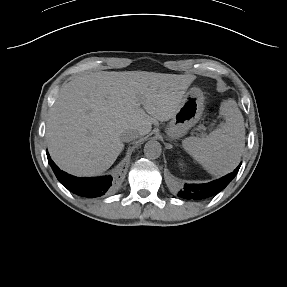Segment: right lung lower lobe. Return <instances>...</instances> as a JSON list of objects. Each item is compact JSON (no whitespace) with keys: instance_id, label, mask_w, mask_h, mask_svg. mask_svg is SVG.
Returning <instances> with one entry per match:
<instances>
[{"instance_id":"obj_1","label":"right lung lower lobe","mask_w":287,"mask_h":287,"mask_svg":"<svg viewBox=\"0 0 287 287\" xmlns=\"http://www.w3.org/2000/svg\"><path fill=\"white\" fill-rule=\"evenodd\" d=\"M48 162L51 165L57 179L71 192L88 197L96 198L110 194L115 185L111 176L97 178H78L61 171L47 154Z\"/></svg>"}]
</instances>
